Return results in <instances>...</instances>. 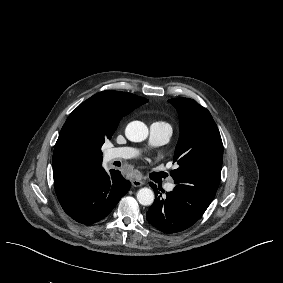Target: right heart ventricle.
<instances>
[{"label":"right heart ventricle","instance_id":"e07e8e85","mask_svg":"<svg viewBox=\"0 0 283 283\" xmlns=\"http://www.w3.org/2000/svg\"><path fill=\"white\" fill-rule=\"evenodd\" d=\"M156 124L163 125V126H166V127H168V128H169V125H168V124H166V123H164V122H158V123H156Z\"/></svg>","mask_w":283,"mask_h":283}]
</instances>
